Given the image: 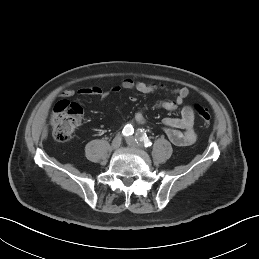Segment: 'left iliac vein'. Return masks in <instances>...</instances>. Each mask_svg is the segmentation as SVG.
Here are the masks:
<instances>
[{
  "mask_svg": "<svg viewBox=\"0 0 259 259\" xmlns=\"http://www.w3.org/2000/svg\"><path fill=\"white\" fill-rule=\"evenodd\" d=\"M127 144L132 148H140L141 145L137 143L136 139L133 136L126 137Z\"/></svg>",
  "mask_w": 259,
  "mask_h": 259,
  "instance_id": "4c4485c4",
  "label": "left iliac vein"
}]
</instances>
